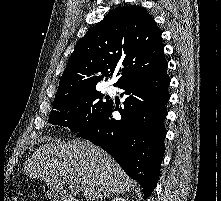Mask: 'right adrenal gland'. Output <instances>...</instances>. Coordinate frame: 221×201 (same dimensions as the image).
I'll return each instance as SVG.
<instances>
[{
    "mask_svg": "<svg viewBox=\"0 0 221 201\" xmlns=\"http://www.w3.org/2000/svg\"><path fill=\"white\" fill-rule=\"evenodd\" d=\"M107 198H109L110 197V195H108V196H106ZM106 197H101L100 198V201H102L103 200V198L105 199Z\"/></svg>",
    "mask_w": 221,
    "mask_h": 201,
    "instance_id": "obj_1",
    "label": "right adrenal gland"
}]
</instances>
